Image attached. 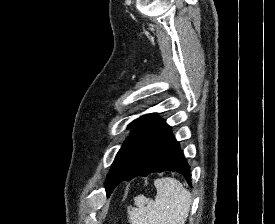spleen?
Returning <instances> with one entry per match:
<instances>
[{
  "mask_svg": "<svg viewBox=\"0 0 275 224\" xmlns=\"http://www.w3.org/2000/svg\"><path fill=\"white\" fill-rule=\"evenodd\" d=\"M155 200L138 195L136 207H128L130 224H185L192 203L191 193L177 179L158 178Z\"/></svg>",
  "mask_w": 275,
  "mask_h": 224,
  "instance_id": "spleen-1",
  "label": "spleen"
}]
</instances>
